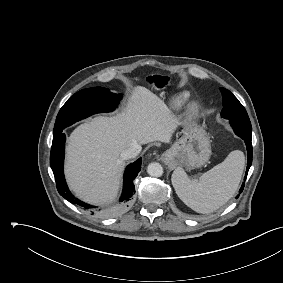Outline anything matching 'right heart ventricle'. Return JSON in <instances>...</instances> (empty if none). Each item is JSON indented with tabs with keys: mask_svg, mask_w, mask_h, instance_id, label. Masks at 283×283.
<instances>
[{
	"mask_svg": "<svg viewBox=\"0 0 283 283\" xmlns=\"http://www.w3.org/2000/svg\"><path fill=\"white\" fill-rule=\"evenodd\" d=\"M189 97V93L180 92L172 96L167 103L165 104V109L167 111H175L182 107V105L186 102Z\"/></svg>",
	"mask_w": 283,
	"mask_h": 283,
	"instance_id": "right-heart-ventricle-1",
	"label": "right heart ventricle"
}]
</instances>
